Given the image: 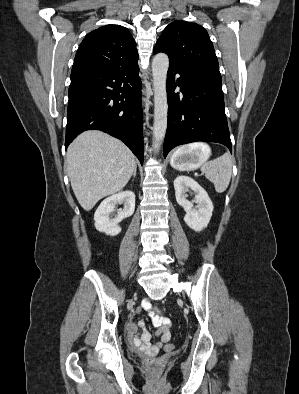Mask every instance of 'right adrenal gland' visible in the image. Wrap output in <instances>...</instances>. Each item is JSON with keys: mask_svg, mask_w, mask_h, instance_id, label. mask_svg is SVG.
<instances>
[{"mask_svg": "<svg viewBox=\"0 0 299 394\" xmlns=\"http://www.w3.org/2000/svg\"><path fill=\"white\" fill-rule=\"evenodd\" d=\"M136 171H137V168L135 167V169H134V171H133V178L136 177Z\"/></svg>", "mask_w": 299, "mask_h": 394, "instance_id": "right-adrenal-gland-1", "label": "right adrenal gland"}]
</instances>
